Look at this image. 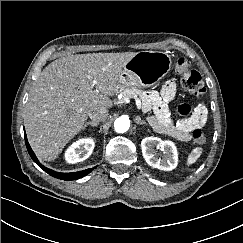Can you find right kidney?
<instances>
[{"label":"right kidney","instance_id":"right-kidney-1","mask_svg":"<svg viewBox=\"0 0 243 243\" xmlns=\"http://www.w3.org/2000/svg\"><path fill=\"white\" fill-rule=\"evenodd\" d=\"M94 141L91 138L80 139L74 142L65 152L68 163L74 164L86 160L93 152Z\"/></svg>","mask_w":243,"mask_h":243}]
</instances>
